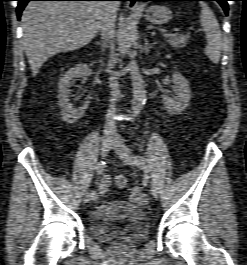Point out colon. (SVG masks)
I'll return each mask as SVG.
<instances>
[{
    "mask_svg": "<svg viewBox=\"0 0 247 265\" xmlns=\"http://www.w3.org/2000/svg\"><path fill=\"white\" fill-rule=\"evenodd\" d=\"M115 184L118 188H124L127 186V179L123 175H118L115 178Z\"/></svg>",
    "mask_w": 247,
    "mask_h": 265,
    "instance_id": "obj_1",
    "label": "colon"
}]
</instances>
